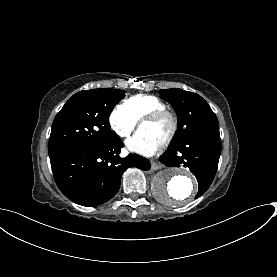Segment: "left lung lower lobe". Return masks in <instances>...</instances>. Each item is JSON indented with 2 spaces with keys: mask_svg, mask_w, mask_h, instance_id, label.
I'll list each match as a JSON object with an SVG mask.
<instances>
[{
  "mask_svg": "<svg viewBox=\"0 0 277 277\" xmlns=\"http://www.w3.org/2000/svg\"><path fill=\"white\" fill-rule=\"evenodd\" d=\"M221 153L218 132L204 133L174 144L160 156V161L169 167H188L196 176L201 196L212 183Z\"/></svg>",
  "mask_w": 277,
  "mask_h": 277,
  "instance_id": "left-lung-lower-lobe-1",
  "label": "left lung lower lobe"
}]
</instances>
